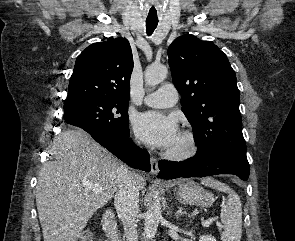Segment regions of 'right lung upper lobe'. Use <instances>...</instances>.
I'll list each match as a JSON object with an SVG mask.
<instances>
[{
	"label": "right lung upper lobe",
	"mask_w": 295,
	"mask_h": 241,
	"mask_svg": "<svg viewBox=\"0 0 295 241\" xmlns=\"http://www.w3.org/2000/svg\"><path fill=\"white\" fill-rule=\"evenodd\" d=\"M132 70L126 38L88 46L76 59L64 109L85 102H128Z\"/></svg>",
	"instance_id": "right-lung-upper-lobe-1"
}]
</instances>
